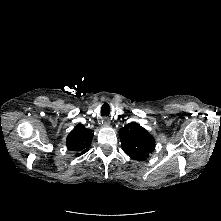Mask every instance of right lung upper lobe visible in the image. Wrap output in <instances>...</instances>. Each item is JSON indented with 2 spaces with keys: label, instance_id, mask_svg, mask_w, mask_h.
Masks as SVG:
<instances>
[{
  "label": "right lung upper lobe",
  "instance_id": "right-lung-upper-lobe-1",
  "mask_svg": "<svg viewBox=\"0 0 221 221\" xmlns=\"http://www.w3.org/2000/svg\"><path fill=\"white\" fill-rule=\"evenodd\" d=\"M93 131L78 124L67 137V148L80 156L87 152L93 138Z\"/></svg>",
  "mask_w": 221,
  "mask_h": 221
}]
</instances>
